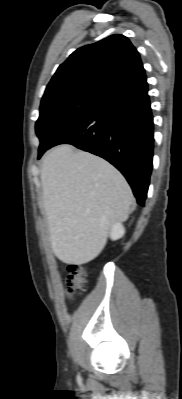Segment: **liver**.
<instances>
[{
    "instance_id": "obj_1",
    "label": "liver",
    "mask_w": 182,
    "mask_h": 399,
    "mask_svg": "<svg viewBox=\"0 0 182 399\" xmlns=\"http://www.w3.org/2000/svg\"><path fill=\"white\" fill-rule=\"evenodd\" d=\"M41 183L52 251L66 264L96 258L112 225L133 211L134 197L121 173L104 159L70 145L44 156Z\"/></svg>"
}]
</instances>
